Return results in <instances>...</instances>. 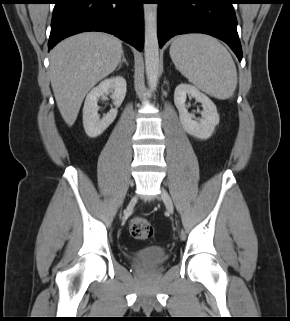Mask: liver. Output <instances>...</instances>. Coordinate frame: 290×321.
<instances>
[{"mask_svg": "<svg viewBox=\"0 0 290 321\" xmlns=\"http://www.w3.org/2000/svg\"><path fill=\"white\" fill-rule=\"evenodd\" d=\"M122 54L121 41L103 32L71 36L51 50V86L68 126L75 123L86 94L116 69Z\"/></svg>", "mask_w": 290, "mask_h": 321, "instance_id": "obj_1", "label": "liver"}]
</instances>
